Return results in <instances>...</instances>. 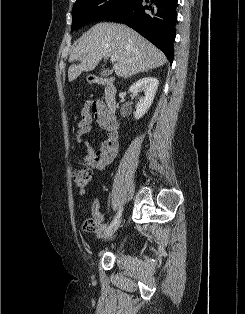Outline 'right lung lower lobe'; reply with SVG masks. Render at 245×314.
<instances>
[{"instance_id": "right-lung-lower-lobe-1", "label": "right lung lower lobe", "mask_w": 245, "mask_h": 314, "mask_svg": "<svg viewBox=\"0 0 245 314\" xmlns=\"http://www.w3.org/2000/svg\"><path fill=\"white\" fill-rule=\"evenodd\" d=\"M178 0H130L106 20L125 23L160 48L172 63Z\"/></svg>"}]
</instances>
